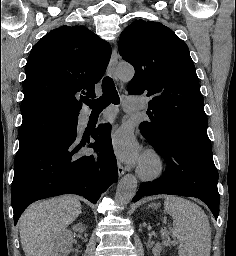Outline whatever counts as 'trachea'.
Segmentation results:
<instances>
[{
	"mask_svg": "<svg viewBox=\"0 0 236 256\" xmlns=\"http://www.w3.org/2000/svg\"><path fill=\"white\" fill-rule=\"evenodd\" d=\"M103 95L97 100H89L86 98L84 103L92 109V113H101L110 103L117 105L120 103V98L115 88V84L110 77H105L102 82Z\"/></svg>",
	"mask_w": 236,
	"mask_h": 256,
	"instance_id": "3493384b",
	"label": "trachea"
}]
</instances>
